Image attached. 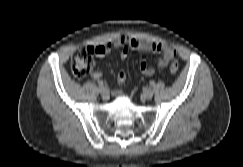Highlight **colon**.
<instances>
[{
	"label": "colon",
	"mask_w": 243,
	"mask_h": 167,
	"mask_svg": "<svg viewBox=\"0 0 243 167\" xmlns=\"http://www.w3.org/2000/svg\"><path fill=\"white\" fill-rule=\"evenodd\" d=\"M94 49L91 47H81L76 49L71 57V68L76 77L82 78L90 74L93 66ZM179 70V65L177 62H173L170 65V72L176 74Z\"/></svg>",
	"instance_id": "5ec220e1"
}]
</instances>
